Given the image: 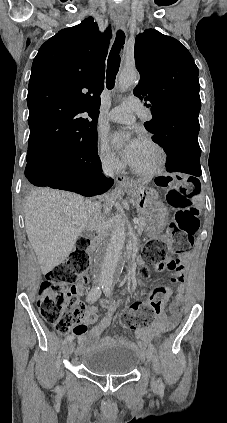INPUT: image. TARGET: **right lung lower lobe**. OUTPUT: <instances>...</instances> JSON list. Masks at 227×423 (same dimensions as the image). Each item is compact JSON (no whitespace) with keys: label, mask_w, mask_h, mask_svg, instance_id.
<instances>
[{"label":"right lung lower lobe","mask_w":227,"mask_h":423,"mask_svg":"<svg viewBox=\"0 0 227 423\" xmlns=\"http://www.w3.org/2000/svg\"><path fill=\"white\" fill-rule=\"evenodd\" d=\"M101 171L97 150L75 156H64L49 150L27 162L25 176L35 186L94 196L106 192L114 183Z\"/></svg>","instance_id":"obj_1"}]
</instances>
